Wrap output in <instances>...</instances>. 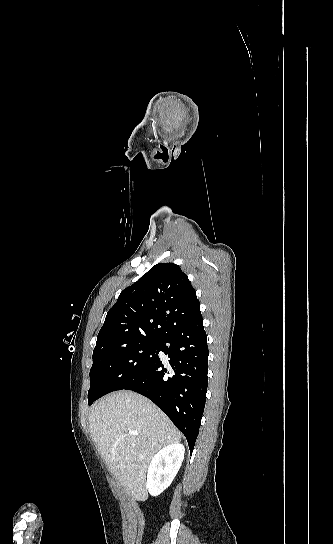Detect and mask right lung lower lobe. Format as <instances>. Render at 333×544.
<instances>
[{"label": "right lung lower lobe", "mask_w": 333, "mask_h": 544, "mask_svg": "<svg viewBox=\"0 0 333 544\" xmlns=\"http://www.w3.org/2000/svg\"><path fill=\"white\" fill-rule=\"evenodd\" d=\"M157 348L153 361L122 389L153 401L185 435L192 452L207 392L209 351L202 315L168 331ZM160 351L169 359L161 358Z\"/></svg>", "instance_id": "98d812e1"}]
</instances>
